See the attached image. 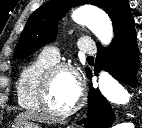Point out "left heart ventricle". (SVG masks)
Returning <instances> with one entry per match:
<instances>
[{"label":"left heart ventricle","instance_id":"left-heart-ventricle-1","mask_svg":"<svg viewBox=\"0 0 142 128\" xmlns=\"http://www.w3.org/2000/svg\"><path fill=\"white\" fill-rule=\"evenodd\" d=\"M77 96L78 86L74 75L68 71L58 72L51 85V105L57 110H67L75 103Z\"/></svg>","mask_w":142,"mask_h":128}]
</instances>
